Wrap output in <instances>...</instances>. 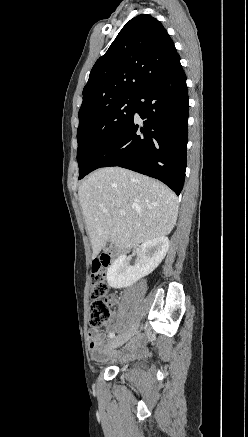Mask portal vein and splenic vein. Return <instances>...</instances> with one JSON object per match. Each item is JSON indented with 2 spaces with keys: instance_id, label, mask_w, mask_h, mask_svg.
Wrapping results in <instances>:
<instances>
[{
  "instance_id": "18ae733b",
  "label": "portal vein and splenic vein",
  "mask_w": 248,
  "mask_h": 437,
  "mask_svg": "<svg viewBox=\"0 0 248 437\" xmlns=\"http://www.w3.org/2000/svg\"><path fill=\"white\" fill-rule=\"evenodd\" d=\"M126 212L124 210H120V214L124 215Z\"/></svg>"
}]
</instances>
